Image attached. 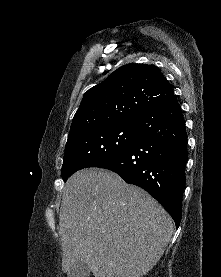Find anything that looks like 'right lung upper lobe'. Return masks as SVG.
<instances>
[{
  "mask_svg": "<svg viewBox=\"0 0 221 277\" xmlns=\"http://www.w3.org/2000/svg\"><path fill=\"white\" fill-rule=\"evenodd\" d=\"M173 95L169 82L155 65H124L84 94L68 138L97 126L136 122Z\"/></svg>",
  "mask_w": 221,
  "mask_h": 277,
  "instance_id": "1",
  "label": "right lung upper lobe"
}]
</instances>
